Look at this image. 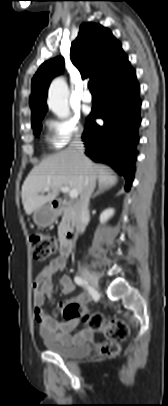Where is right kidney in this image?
Masks as SVG:
<instances>
[{
	"mask_svg": "<svg viewBox=\"0 0 168 406\" xmlns=\"http://www.w3.org/2000/svg\"><path fill=\"white\" fill-rule=\"evenodd\" d=\"M114 214V210L112 208L104 210L100 215V222L105 223L110 217Z\"/></svg>",
	"mask_w": 168,
	"mask_h": 406,
	"instance_id": "obj_1",
	"label": "right kidney"
}]
</instances>
